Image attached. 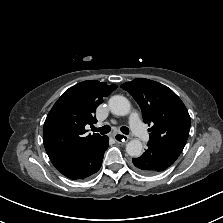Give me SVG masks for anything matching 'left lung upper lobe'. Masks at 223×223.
Here are the masks:
<instances>
[{
    "instance_id": "1",
    "label": "left lung upper lobe",
    "mask_w": 223,
    "mask_h": 223,
    "mask_svg": "<svg viewBox=\"0 0 223 223\" xmlns=\"http://www.w3.org/2000/svg\"><path fill=\"white\" fill-rule=\"evenodd\" d=\"M139 104L143 120L152 125L149 143L167 145L182 152L190 130L189 113L168 87L145 78L121 85Z\"/></svg>"
}]
</instances>
